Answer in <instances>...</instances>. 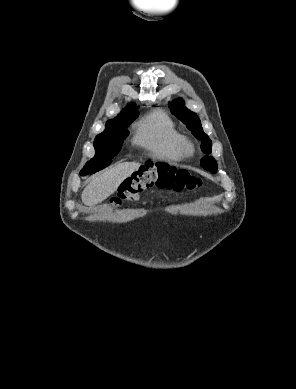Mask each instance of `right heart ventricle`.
<instances>
[{
  "label": "right heart ventricle",
  "instance_id": "e07e8e85",
  "mask_svg": "<svg viewBox=\"0 0 296 389\" xmlns=\"http://www.w3.org/2000/svg\"><path fill=\"white\" fill-rule=\"evenodd\" d=\"M182 135L166 113L155 110L147 114L136 127L133 142L152 156L168 161H181Z\"/></svg>",
  "mask_w": 296,
  "mask_h": 389
}]
</instances>
